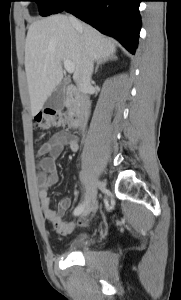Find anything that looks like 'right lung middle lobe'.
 <instances>
[{"label":"right lung middle lobe","mask_w":181,"mask_h":300,"mask_svg":"<svg viewBox=\"0 0 181 300\" xmlns=\"http://www.w3.org/2000/svg\"><path fill=\"white\" fill-rule=\"evenodd\" d=\"M35 1L39 5V11L42 16L55 14L56 11L65 4L66 0H29Z\"/></svg>","instance_id":"right-lung-middle-lobe-1"}]
</instances>
